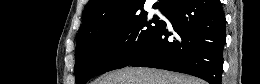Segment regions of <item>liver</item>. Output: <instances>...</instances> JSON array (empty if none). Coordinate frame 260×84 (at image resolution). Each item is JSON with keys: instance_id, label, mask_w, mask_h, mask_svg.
<instances>
[{"instance_id": "1", "label": "liver", "mask_w": 260, "mask_h": 84, "mask_svg": "<svg viewBox=\"0 0 260 84\" xmlns=\"http://www.w3.org/2000/svg\"><path fill=\"white\" fill-rule=\"evenodd\" d=\"M94 84H206L205 81L169 71L147 67H126L109 73Z\"/></svg>"}]
</instances>
